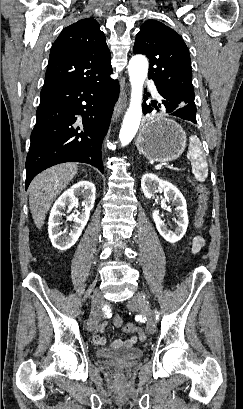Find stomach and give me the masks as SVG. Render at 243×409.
<instances>
[{"instance_id": "0dacf381", "label": "stomach", "mask_w": 243, "mask_h": 409, "mask_svg": "<svg viewBox=\"0 0 243 409\" xmlns=\"http://www.w3.org/2000/svg\"><path fill=\"white\" fill-rule=\"evenodd\" d=\"M138 151L149 160L167 162L177 159L186 147V132L163 115L148 119L136 139Z\"/></svg>"}]
</instances>
